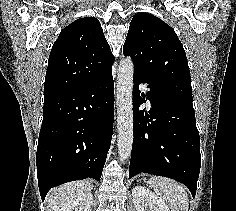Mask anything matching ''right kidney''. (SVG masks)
I'll use <instances>...</instances> for the list:
<instances>
[{
    "instance_id": "right-kidney-1",
    "label": "right kidney",
    "mask_w": 236,
    "mask_h": 211,
    "mask_svg": "<svg viewBox=\"0 0 236 211\" xmlns=\"http://www.w3.org/2000/svg\"><path fill=\"white\" fill-rule=\"evenodd\" d=\"M92 200L93 195L90 192L84 193L63 206L61 211H89Z\"/></svg>"
}]
</instances>
